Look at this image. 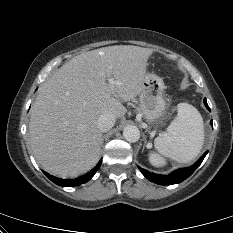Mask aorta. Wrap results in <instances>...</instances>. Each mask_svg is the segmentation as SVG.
Returning a JSON list of instances; mask_svg holds the SVG:
<instances>
[{"mask_svg":"<svg viewBox=\"0 0 233 233\" xmlns=\"http://www.w3.org/2000/svg\"><path fill=\"white\" fill-rule=\"evenodd\" d=\"M123 136L128 142H137L140 138V131L137 126L128 125L123 130Z\"/></svg>","mask_w":233,"mask_h":233,"instance_id":"obj_1","label":"aorta"}]
</instances>
